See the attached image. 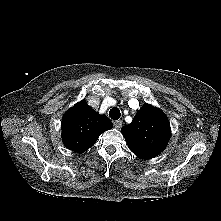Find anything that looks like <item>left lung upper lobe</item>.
<instances>
[{
  "mask_svg": "<svg viewBox=\"0 0 221 221\" xmlns=\"http://www.w3.org/2000/svg\"><path fill=\"white\" fill-rule=\"evenodd\" d=\"M170 131L166 115L150 104H144L133 121L121 129L129 149L141 159L159 155L166 148Z\"/></svg>",
  "mask_w": 221,
  "mask_h": 221,
  "instance_id": "5c2ea615",
  "label": "left lung upper lobe"
}]
</instances>
